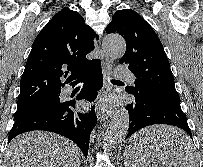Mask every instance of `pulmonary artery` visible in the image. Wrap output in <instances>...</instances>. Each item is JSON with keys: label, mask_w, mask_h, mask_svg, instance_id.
Masks as SVG:
<instances>
[{"label": "pulmonary artery", "mask_w": 203, "mask_h": 167, "mask_svg": "<svg viewBox=\"0 0 203 167\" xmlns=\"http://www.w3.org/2000/svg\"><path fill=\"white\" fill-rule=\"evenodd\" d=\"M116 75H117L118 77L127 79V80L130 81V82H135V80H136L135 75H134L129 69L124 68V67H119V68L116 70Z\"/></svg>", "instance_id": "obj_1"}]
</instances>
